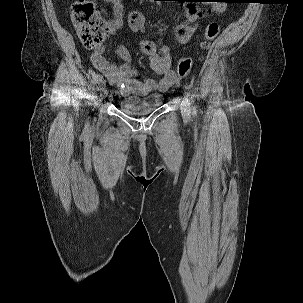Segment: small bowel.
Instances as JSON below:
<instances>
[{
  "label": "small bowel",
  "mask_w": 303,
  "mask_h": 303,
  "mask_svg": "<svg viewBox=\"0 0 303 303\" xmlns=\"http://www.w3.org/2000/svg\"><path fill=\"white\" fill-rule=\"evenodd\" d=\"M112 5L113 16L109 22L111 32L118 30L123 25L125 4L124 0H104ZM183 4L186 20L177 28L176 37L179 43H186L196 30L198 20L204 15L197 5L189 0ZM206 14L218 15L225 11L222 0H211ZM128 22L131 30L141 33L145 26V17L137 9L129 13ZM141 52L149 59L151 70L161 77L160 80L142 77L132 64V56L124 47H117L121 63L115 65L106 60L102 53L104 46L98 47L91 56L93 66L99 70L122 94L137 91L147 94L155 91H167L176 81V74L171 69V61L166 47H158L152 40H143L140 44Z\"/></svg>",
  "instance_id": "1"
}]
</instances>
